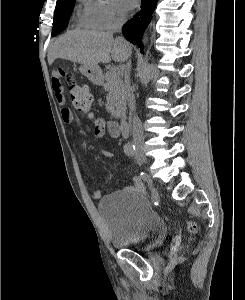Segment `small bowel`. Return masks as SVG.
Listing matches in <instances>:
<instances>
[{
    "label": "small bowel",
    "mask_w": 245,
    "mask_h": 300,
    "mask_svg": "<svg viewBox=\"0 0 245 300\" xmlns=\"http://www.w3.org/2000/svg\"><path fill=\"white\" fill-rule=\"evenodd\" d=\"M52 89L54 91L57 103L63 107L61 109V117H62L63 122L66 124H69V125L73 124L74 115L69 108L64 107V105L66 103V98L64 95L63 84H62L60 76L58 74H56L55 72L52 77ZM91 118H92V121L95 126L94 134H95L96 139H98V140L101 139L105 135L106 132H108V134L113 138H117L120 136L121 131H120L119 125L116 122H114V121L106 122L104 119H102L98 116H92ZM100 153L103 156L108 157V158L115 157L114 153L107 151V150H101ZM87 182L90 183L89 178H87ZM129 190L140 192V193H142L144 191L143 182L139 176L133 177V185L131 187H129ZM101 195H102V193L99 188L92 189V197L94 199H96V200L100 199Z\"/></svg>",
    "instance_id": "small-bowel-1"
}]
</instances>
